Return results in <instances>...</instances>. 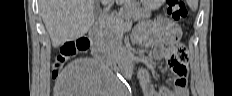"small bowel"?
I'll use <instances>...</instances> for the list:
<instances>
[{
	"mask_svg": "<svg viewBox=\"0 0 232 96\" xmlns=\"http://www.w3.org/2000/svg\"><path fill=\"white\" fill-rule=\"evenodd\" d=\"M153 22L150 20L141 21L134 30H129V35H133L134 42L138 45L146 43H160L161 39H167V35H174L177 32L178 25H174V22H169L167 15H164V11H157V15H154ZM156 57H164L162 51H156ZM187 57V56H186ZM186 59V58H185ZM184 60L183 63H184ZM173 70V68H172ZM174 72V70H173ZM174 91L172 94L166 87H162L158 92L152 90L147 74L142 71L140 73V84L147 96H186L187 95V81L186 73H175Z\"/></svg>",
	"mask_w": 232,
	"mask_h": 96,
	"instance_id": "c3829d8e",
	"label": "small bowel"
}]
</instances>
